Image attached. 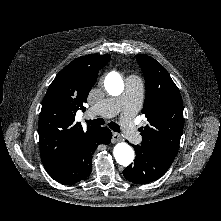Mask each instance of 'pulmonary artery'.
<instances>
[{"instance_id": "pulmonary-artery-1", "label": "pulmonary artery", "mask_w": 221, "mask_h": 221, "mask_svg": "<svg viewBox=\"0 0 221 221\" xmlns=\"http://www.w3.org/2000/svg\"><path fill=\"white\" fill-rule=\"evenodd\" d=\"M143 84L139 77L130 75L125 81L121 96L106 99L89 109L87 117L103 115L112 117L122 111L121 126L124 134L132 143L139 141V132L134 123V115L142 101Z\"/></svg>"}]
</instances>
